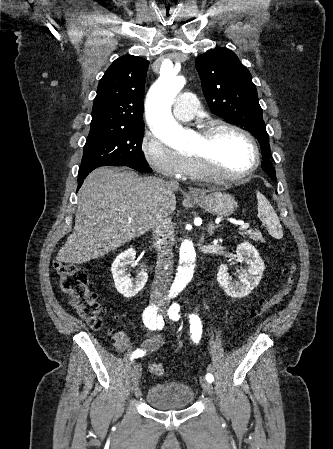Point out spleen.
Listing matches in <instances>:
<instances>
[{
	"label": "spleen",
	"mask_w": 333,
	"mask_h": 449,
	"mask_svg": "<svg viewBox=\"0 0 333 449\" xmlns=\"http://www.w3.org/2000/svg\"><path fill=\"white\" fill-rule=\"evenodd\" d=\"M256 196L258 201V217L266 225L271 236L276 239H281L283 237V230L275 210L262 193L257 191Z\"/></svg>",
	"instance_id": "1"
}]
</instances>
